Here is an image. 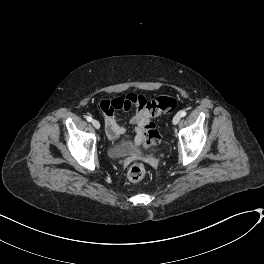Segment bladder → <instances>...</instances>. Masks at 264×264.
Wrapping results in <instances>:
<instances>
[{"label":"bladder","mask_w":264,"mask_h":264,"mask_svg":"<svg viewBox=\"0 0 264 264\" xmlns=\"http://www.w3.org/2000/svg\"><path fill=\"white\" fill-rule=\"evenodd\" d=\"M142 150L132 142H127L119 148H111L107 151V155L111 158H120L125 156H133L141 154Z\"/></svg>","instance_id":"1"}]
</instances>
